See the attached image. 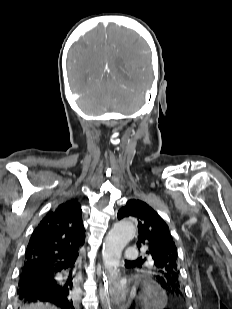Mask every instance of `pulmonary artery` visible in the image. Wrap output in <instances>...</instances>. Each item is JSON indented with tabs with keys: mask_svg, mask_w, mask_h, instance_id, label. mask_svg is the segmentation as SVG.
I'll list each match as a JSON object with an SVG mask.
<instances>
[{
	"mask_svg": "<svg viewBox=\"0 0 232 309\" xmlns=\"http://www.w3.org/2000/svg\"><path fill=\"white\" fill-rule=\"evenodd\" d=\"M138 251L136 248H128L125 251V258L127 260H136L138 258Z\"/></svg>",
	"mask_w": 232,
	"mask_h": 309,
	"instance_id": "pulmonary-artery-1",
	"label": "pulmonary artery"
}]
</instances>
